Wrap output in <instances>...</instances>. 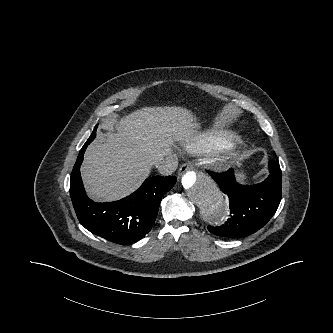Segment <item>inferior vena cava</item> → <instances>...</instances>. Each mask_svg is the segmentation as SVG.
<instances>
[{
  "mask_svg": "<svg viewBox=\"0 0 333 333\" xmlns=\"http://www.w3.org/2000/svg\"><path fill=\"white\" fill-rule=\"evenodd\" d=\"M155 166L162 175L168 176L177 169L178 161L176 158L168 157L155 163Z\"/></svg>",
  "mask_w": 333,
  "mask_h": 333,
  "instance_id": "1",
  "label": "inferior vena cava"
}]
</instances>
